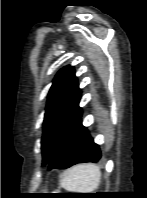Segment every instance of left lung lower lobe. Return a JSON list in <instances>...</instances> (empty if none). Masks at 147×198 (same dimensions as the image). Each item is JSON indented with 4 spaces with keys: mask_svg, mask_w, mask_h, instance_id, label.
<instances>
[{
    "mask_svg": "<svg viewBox=\"0 0 147 198\" xmlns=\"http://www.w3.org/2000/svg\"><path fill=\"white\" fill-rule=\"evenodd\" d=\"M100 157L99 146L82 125L80 115L54 149L47 165L49 170L66 169L77 163L98 162Z\"/></svg>",
    "mask_w": 147,
    "mask_h": 198,
    "instance_id": "left-lung-lower-lobe-1",
    "label": "left lung lower lobe"
}]
</instances>
